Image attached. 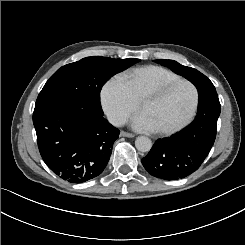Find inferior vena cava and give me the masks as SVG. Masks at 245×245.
Listing matches in <instances>:
<instances>
[{
	"instance_id": "obj_1",
	"label": "inferior vena cava",
	"mask_w": 245,
	"mask_h": 245,
	"mask_svg": "<svg viewBox=\"0 0 245 245\" xmlns=\"http://www.w3.org/2000/svg\"><path fill=\"white\" fill-rule=\"evenodd\" d=\"M108 120L112 125H114L116 127H121V126L125 125L127 122L126 116H124L122 114H113V115L108 117Z\"/></svg>"
}]
</instances>
